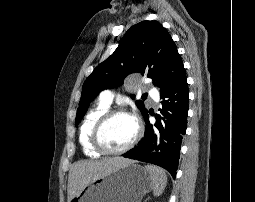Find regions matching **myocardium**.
I'll list each match as a JSON object with an SVG mask.
<instances>
[{"label": "myocardium", "mask_w": 255, "mask_h": 202, "mask_svg": "<svg viewBox=\"0 0 255 202\" xmlns=\"http://www.w3.org/2000/svg\"><path fill=\"white\" fill-rule=\"evenodd\" d=\"M125 115L131 117L136 125V132L131 141L126 144L124 147L120 149H110L108 148L102 141V131L105 125L115 116ZM142 136V126L139 120L129 113L128 111L116 108V109H108L100 118L96 121L92 133H91V143L93 147L102 154H110V155H119L129 151L140 139Z\"/></svg>", "instance_id": "f54148a6"}]
</instances>
